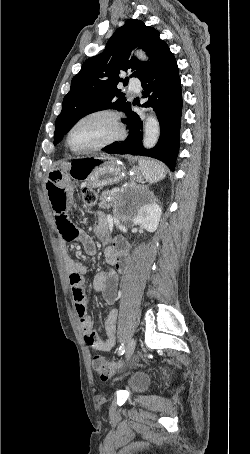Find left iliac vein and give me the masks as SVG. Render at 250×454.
<instances>
[{
    "mask_svg": "<svg viewBox=\"0 0 250 454\" xmlns=\"http://www.w3.org/2000/svg\"><path fill=\"white\" fill-rule=\"evenodd\" d=\"M135 346H136V340L134 338H131L126 347V355H125L126 362H128L130 360V358L135 350Z\"/></svg>",
    "mask_w": 250,
    "mask_h": 454,
    "instance_id": "1",
    "label": "left iliac vein"
}]
</instances>
